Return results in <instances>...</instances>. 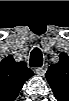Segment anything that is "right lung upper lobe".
Listing matches in <instances>:
<instances>
[{"mask_svg":"<svg viewBox=\"0 0 69 101\" xmlns=\"http://www.w3.org/2000/svg\"><path fill=\"white\" fill-rule=\"evenodd\" d=\"M24 61L15 62L9 55L0 62V91L7 99L14 100L25 81L33 76Z\"/></svg>","mask_w":69,"mask_h":101,"instance_id":"1","label":"right lung upper lobe"}]
</instances>
